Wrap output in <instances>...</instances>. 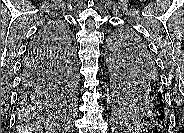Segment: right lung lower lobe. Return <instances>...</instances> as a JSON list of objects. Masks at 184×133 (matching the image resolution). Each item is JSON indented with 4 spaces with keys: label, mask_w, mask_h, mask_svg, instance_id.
<instances>
[{
    "label": "right lung lower lobe",
    "mask_w": 184,
    "mask_h": 133,
    "mask_svg": "<svg viewBox=\"0 0 184 133\" xmlns=\"http://www.w3.org/2000/svg\"><path fill=\"white\" fill-rule=\"evenodd\" d=\"M69 49L68 39L62 37L56 21L38 31L26 50L18 103L39 104L55 95L65 75Z\"/></svg>",
    "instance_id": "obj_1"
}]
</instances>
